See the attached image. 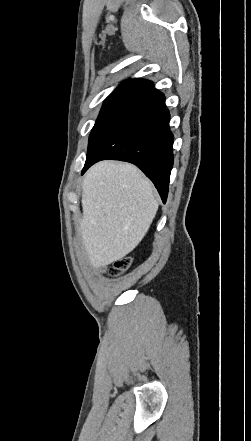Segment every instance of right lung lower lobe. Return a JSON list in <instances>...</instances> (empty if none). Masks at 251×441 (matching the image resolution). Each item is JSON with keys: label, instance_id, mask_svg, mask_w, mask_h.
<instances>
[{"label": "right lung lower lobe", "instance_id": "obj_1", "mask_svg": "<svg viewBox=\"0 0 251 441\" xmlns=\"http://www.w3.org/2000/svg\"><path fill=\"white\" fill-rule=\"evenodd\" d=\"M169 120L164 95L151 90L133 102L103 133L87 156L82 174L105 159L133 163L154 183L165 203L174 161Z\"/></svg>", "mask_w": 251, "mask_h": 441}]
</instances>
